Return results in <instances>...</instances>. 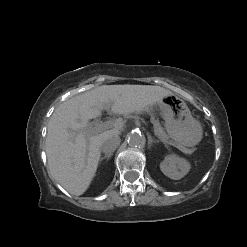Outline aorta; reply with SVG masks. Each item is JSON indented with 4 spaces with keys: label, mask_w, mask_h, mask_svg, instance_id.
<instances>
[{
    "label": "aorta",
    "mask_w": 247,
    "mask_h": 247,
    "mask_svg": "<svg viewBox=\"0 0 247 247\" xmlns=\"http://www.w3.org/2000/svg\"><path fill=\"white\" fill-rule=\"evenodd\" d=\"M128 145L132 148H140L145 144V137L140 132H131L128 135Z\"/></svg>",
    "instance_id": "obj_1"
}]
</instances>
